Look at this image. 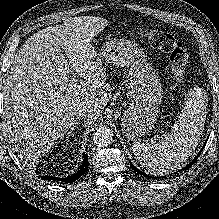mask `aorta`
I'll list each match as a JSON object with an SVG mask.
<instances>
[{"instance_id":"1","label":"aorta","mask_w":219,"mask_h":219,"mask_svg":"<svg viewBox=\"0 0 219 219\" xmlns=\"http://www.w3.org/2000/svg\"><path fill=\"white\" fill-rule=\"evenodd\" d=\"M113 131L109 127H101L93 135V144L97 147H105L112 142Z\"/></svg>"}]
</instances>
